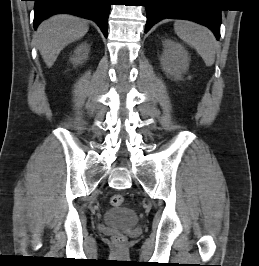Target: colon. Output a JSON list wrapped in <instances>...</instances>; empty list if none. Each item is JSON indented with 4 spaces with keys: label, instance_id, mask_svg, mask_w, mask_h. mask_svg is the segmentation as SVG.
<instances>
[{
    "label": "colon",
    "instance_id": "colon-1",
    "mask_svg": "<svg viewBox=\"0 0 259 266\" xmlns=\"http://www.w3.org/2000/svg\"><path fill=\"white\" fill-rule=\"evenodd\" d=\"M123 203L124 197L121 194H115L110 198V204L113 207H120ZM113 240L118 247H123L127 241L126 237L120 234L114 236Z\"/></svg>",
    "mask_w": 259,
    "mask_h": 266
}]
</instances>
